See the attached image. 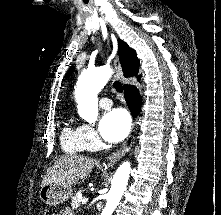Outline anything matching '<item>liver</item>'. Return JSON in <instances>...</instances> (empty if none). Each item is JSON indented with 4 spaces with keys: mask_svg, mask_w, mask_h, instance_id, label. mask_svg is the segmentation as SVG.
<instances>
[{
    "mask_svg": "<svg viewBox=\"0 0 221 215\" xmlns=\"http://www.w3.org/2000/svg\"><path fill=\"white\" fill-rule=\"evenodd\" d=\"M95 160L87 156L67 155L54 162L43 177L41 188L47 184L71 186L92 171Z\"/></svg>",
    "mask_w": 221,
    "mask_h": 215,
    "instance_id": "1",
    "label": "liver"
}]
</instances>
